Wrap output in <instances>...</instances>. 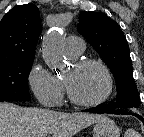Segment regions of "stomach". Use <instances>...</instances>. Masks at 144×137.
<instances>
[{
    "label": "stomach",
    "mask_w": 144,
    "mask_h": 137,
    "mask_svg": "<svg viewBox=\"0 0 144 137\" xmlns=\"http://www.w3.org/2000/svg\"><path fill=\"white\" fill-rule=\"evenodd\" d=\"M93 137H120V129L112 119L103 116L93 127Z\"/></svg>",
    "instance_id": "0dacf381"
}]
</instances>
